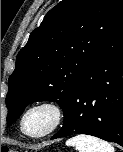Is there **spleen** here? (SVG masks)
<instances>
[{
  "mask_svg": "<svg viewBox=\"0 0 123 152\" xmlns=\"http://www.w3.org/2000/svg\"><path fill=\"white\" fill-rule=\"evenodd\" d=\"M66 145L75 147L78 152H114V148L108 142L85 134L70 138Z\"/></svg>",
  "mask_w": 123,
  "mask_h": 152,
  "instance_id": "3e777b00",
  "label": "spleen"
}]
</instances>
